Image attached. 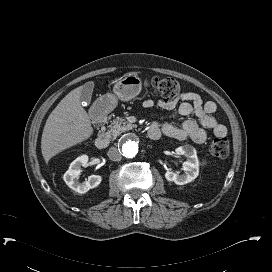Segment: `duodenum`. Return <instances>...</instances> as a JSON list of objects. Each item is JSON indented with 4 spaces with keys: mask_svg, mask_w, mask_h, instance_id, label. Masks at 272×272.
Masks as SVG:
<instances>
[{
    "mask_svg": "<svg viewBox=\"0 0 272 272\" xmlns=\"http://www.w3.org/2000/svg\"><path fill=\"white\" fill-rule=\"evenodd\" d=\"M108 104L101 102L95 105L89 112V117L93 123L99 124L105 121L107 115ZM148 138L158 140L161 138L162 133L157 126H150L147 130ZM95 145L99 149H105L109 145V137L107 135H100L97 137Z\"/></svg>",
    "mask_w": 272,
    "mask_h": 272,
    "instance_id": "duodenum-1",
    "label": "duodenum"
}]
</instances>
